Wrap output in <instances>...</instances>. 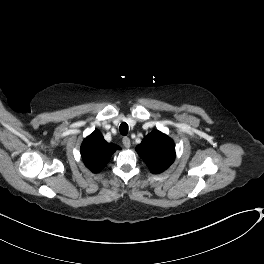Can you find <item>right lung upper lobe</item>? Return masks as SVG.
Masks as SVG:
<instances>
[{"label": "right lung upper lobe", "instance_id": "1", "mask_svg": "<svg viewBox=\"0 0 264 264\" xmlns=\"http://www.w3.org/2000/svg\"><path fill=\"white\" fill-rule=\"evenodd\" d=\"M118 149H120L119 146L107 143L102 134L95 130L84 139L81 145V156L85 165L92 172L98 173Z\"/></svg>", "mask_w": 264, "mask_h": 264}]
</instances>
